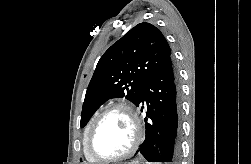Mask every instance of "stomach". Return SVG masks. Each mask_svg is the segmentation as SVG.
Here are the masks:
<instances>
[{
	"label": "stomach",
	"mask_w": 251,
	"mask_h": 164,
	"mask_svg": "<svg viewBox=\"0 0 251 164\" xmlns=\"http://www.w3.org/2000/svg\"><path fill=\"white\" fill-rule=\"evenodd\" d=\"M133 164H140L138 161H134V163Z\"/></svg>",
	"instance_id": "stomach-1"
}]
</instances>
